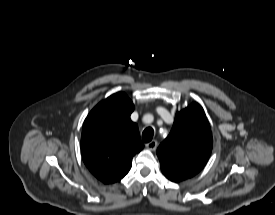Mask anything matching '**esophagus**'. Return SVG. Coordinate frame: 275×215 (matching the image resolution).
<instances>
[{
    "label": "esophagus",
    "mask_w": 275,
    "mask_h": 215,
    "mask_svg": "<svg viewBox=\"0 0 275 215\" xmlns=\"http://www.w3.org/2000/svg\"><path fill=\"white\" fill-rule=\"evenodd\" d=\"M158 146V143L156 140H152L148 143L145 144V147L148 149V150H151V151H155L156 148Z\"/></svg>",
    "instance_id": "obj_1"
}]
</instances>
